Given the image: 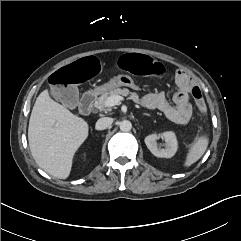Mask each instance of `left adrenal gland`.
<instances>
[{
	"mask_svg": "<svg viewBox=\"0 0 241 241\" xmlns=\"http://www.w3.org/2000/svg\"><path fill=\"white\" fill-rule=\"evenodd\" d=\"M144 116H150V115L145 113Z\"/></svg>",
	"mask_w": 241,
	"mask_h": 241,
	"instance_id": "obj_1",
	"label": "left adrenal gland"
}]
</instances>
